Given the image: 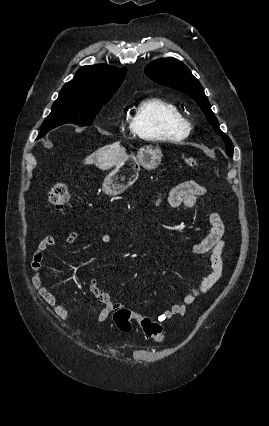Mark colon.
Instances as JSON below:
<instances>
[{"instance_id": "1", "label": "colon", "mask_w": 269, "mask_h": 426, "mask_svg": "<svg viewBox=\"0 0 269 426\" xmlns=\"http://www.w3.org/2000/svg\"><path fill=\"white\" fill-rule=\"evenodd\" d=\"M184 161L190 168L198 166V162L194 157L186 156ZM48 198L53 206L58 210H62L64 205L69 201V193L65 183L57 182L54 184L48 193ZM133 319H135V313L127 308H119L113 314L116 327L124 332L131 330ZM138 321L147 338L154 342H162L164 340L162 326L158 322L152 321L148 317H142Z\"/></svg>"}]
</instances>
